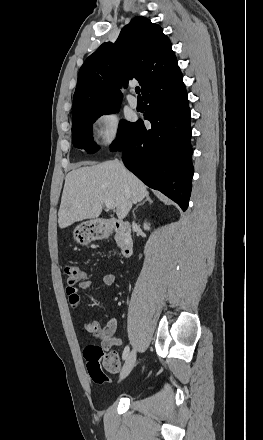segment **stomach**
<instances>
[{
	"instance_id": "stomach-1",
	"label": "stomach",
	"mask_w": 263,
	"mask_h": 440,
	"mask_svg": "<svg viewBox=\"0 0 263 440\" xmlns=\"http://www.w3.org/2000/svg\"><path fill=\"white\" fill-rule=\"evenodd\" d=\"M98 235V228L95 221H87L80 224L75 231V238L84 242Z\"/></svg>"
}]
</instances>
